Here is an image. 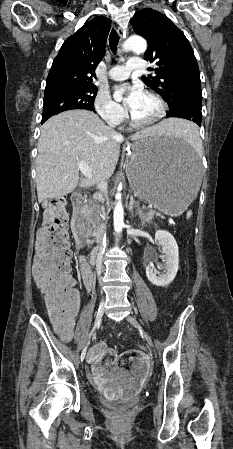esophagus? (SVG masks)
Listing matches in <instances>:
<instances>
[{
    "label": "esophagus",
    "instance_id": "esophagus-1",
    "mask_svg": "<svg viewBox=\"0 0 233 449\" xmlns=\"http://www.w3.org/2000/svg\"><path fill=\"white\" fill-rule=\"evenodd\" d=\"M117 32H118L120 38L123 39L126 37L128 30L123 26H118Z\"/></svg>",
    "mask_w": 233,
    "mask_h": 449
}]
</instances>
